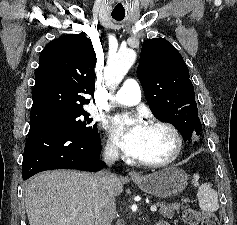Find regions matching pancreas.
Returning <instances> with one entry per match:
<instances>
[{"mask_svg":"<svg viewBox=\"0 0 237 225\" xmlns=\"http://www.w3.org/2000/svg\"><path fill=\"white\" fill-rule=\"evenodd\" d=\"M158 206L160 207L159 209L160 215H162L163 217H168V218H172L175 211L179 213L180 209H182L181 205L178 203L167 204L165 202H160L158 203Z\"/></svg>","mask_w":237,"mask_h":225,"instance_id":"1","label":"pancreas"}]
</instances>
